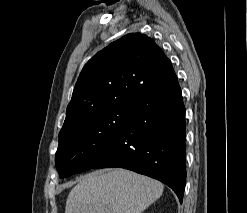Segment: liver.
<instances>
[{"label": "liver", "instance_id": "1", "mask_svg": "<svg viewBox=\"0 0 247 213\" xmlns=\"http://www.w3.org/2000/svg\"><path fill=\"white\" fill-rule=\"evenodd\" d=\"M163 189L161 182L129 170L94 171L70 191L65 213H141Z\"/></svg>", "mask_w": 247, "mask_h": 213}]
</instances>
